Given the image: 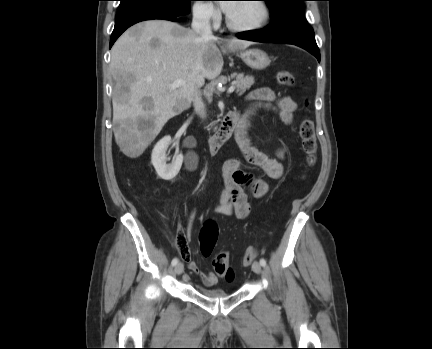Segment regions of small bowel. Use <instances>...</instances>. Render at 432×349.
<instances>
[{
  "label": "small bowel",
  "mask_w": 432,
  "mask_h": 349,
  "mask_svg": "<svg viewBox=\"0 0 432 349\" xmlns=\"http://www.w3.org/2000/svg\"><path fill=\"white\" fill-rule=\"evenodd\" d=\"M249 100L254 102L255 106H262L276 110L281 120L290 124L293 119V113L297 108L296 102L290 97H277L275 92L268 87H261L253 90L249 94ZM248 116L240 120L236 129L235 139L242 151L243 159L231 158L223 164L224 189L221 193L217 211L223 215H234L238 219H245L250 213L248 203V193L254 198H263L269 191V184L262 178L245 171L243 161L260 169L268 177L279 179L284 175V165L281 162L285 158L286 149L280 146L276 150L278 159L272 158L255 147L248 136ZM198 158L195 153L190 152L186 157V168L195 170ZM180 240H183L181 243ZM178 248L181 257L188 261V267L195 272L201 279L202 283L209 287L217 283V276L211 272L200 270L197 262L191 260V252L186 245L183 235L178 237Z\"/></svg>",
  "instance_id": "obj_1"
}]
</instances>
